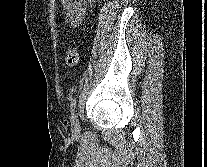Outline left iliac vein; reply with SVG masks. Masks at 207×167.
Listing matches in <instances>:
<instances>
[{
  "instance_id": "left-iliac-vein-1",
  "label": "left iliac vein",
  "mask_w": 207,
  "mask_h": 167,
  "mask_svg": "<svg viewBox=\"0 0 207 167\" xmlns=\"http://www.w3.org/2000/svg\"><path fill=\"white\" fill-rule=\"evenodd\" d=\"M71 130L74 135H77L80 132L78 116L74 112L71 115Z\"/></svg>"
}]
</instances>
